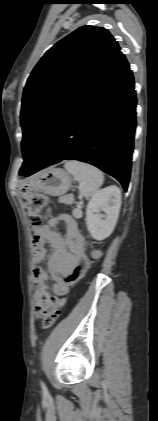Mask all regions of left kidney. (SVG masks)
<instances>
[{
  "label": "left kidney",
  "instance_id": "5707ae66",
  "mask_svg": "<svg viewBox=\"0 0 158 421\" xmlns=\"http://www.w3.org/2000/svg\"><path fill=\"white\" fill-rule=\"evenodd\" d=\"M121 207V192L117 186L99 190L89 201L86 209V225L95 240L111 235L118 220ZM104 214H100V212Z\"/></svg>",
  "mask_w": 158,
  "mask_h": 421
}]
</instances>
